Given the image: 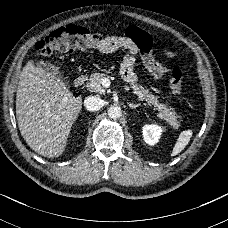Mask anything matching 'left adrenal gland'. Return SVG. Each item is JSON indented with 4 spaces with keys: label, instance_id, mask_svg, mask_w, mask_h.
Wrapping results in <instances>:
<instances>
[{
    "label": "left adrenal gland",
    "instance_id": "a2214340",
    "mask_svg": "<svg viewBox=\"0 0 228 228\" xmlns=\"http://www.w3.org/2000/svg\"><path fill=\"white\" fill-rule=\"evenodd\" d=\"M128 103H129L130 108H131L133 111H135V110L139 107V104H138V105H135V104L132 103V102H128Z\"/></svg>",
    "mask_w": 228,
    "mask_h": 228
}]
</instances>
